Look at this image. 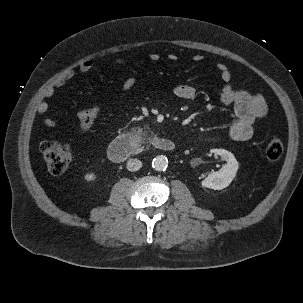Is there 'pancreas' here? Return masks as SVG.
Here are the masks:
<instances>
[{"label":"pancreas","mask_w":303,"mask_h":303,"mask_svg":"<svg viewBox=\"0 0 303 303\" xmlns=\"http://www.w3.org/2000/svg\"><path fill=\"white\" fill-rule=\"evenodd\" d=\"M137 132H138V134H140V135H143V134H144L143 129H141V128H138Z\"/></svg>","instance_id":"obj_1"}]
</instances>
